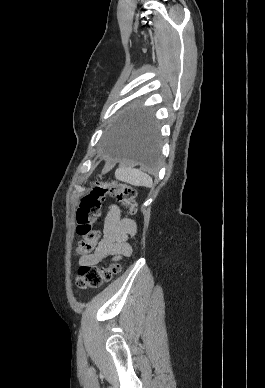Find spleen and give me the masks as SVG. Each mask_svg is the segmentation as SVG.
<instances>
[{
  "label": "spleen",
  "instance_id": "1",
  "mask_svg": "<svg viewBox=\"0 0 265 388\" xmlns=\"http://www.w3.org/2000/svg\"><path fill=\"white\" fill-rule=\"evenodd\" d=\"M116 178L121 180V182H126V184H131V186H147V188H152V178L140 172V170H134V168H119L116 172Z\"/></svg>",
  "mask_w": 265,
  "mask_h": 388
}]
</instances>
